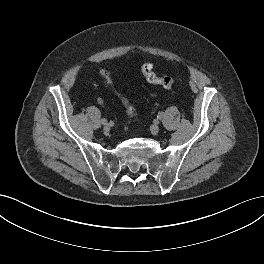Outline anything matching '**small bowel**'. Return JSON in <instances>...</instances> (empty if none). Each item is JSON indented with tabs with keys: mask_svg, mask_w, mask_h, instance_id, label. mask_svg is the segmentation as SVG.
I'll use <instances>...</instances> for the list:
<instances>
[{
	"mask_svg": "<svg viewBox=\"0 0 264 264\" xmlns=\"http://www.w3.org/2000/svg\"><path fill=\"white\" fill-rule=\"evenodd\" d=\"M98 103H99V104H103V100H102V99H99V100H98Z\"/></svg>",
	"mask_w": 264,
	"mask_h": 264,
	"instance_id": "1",
	"label": "small bowel"
}]
</instances>
